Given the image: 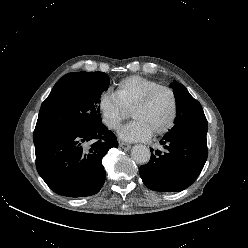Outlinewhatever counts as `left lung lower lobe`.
<instances>
[{
	"label": "left lung lower lobe",
	"instance_id": "obj_1",
	"mask_svg": "<svg viewBox=\"0 0 248 248\" xmlns=\"http://www.w3.org/2000/svg\"><path fill=\"white\" fill-rule=\"evenodd\" d=\"M160 150L139 169L143 183L159 192H179L198 177L206 162L207 139L202 131L180 130L164 136ZM153 151V149H150Z\"/></svg>",
	"mask_w": 248,
	"mask_h": 248
}]
</instances>
